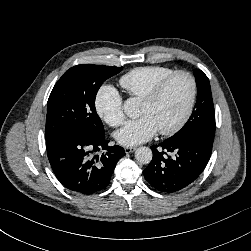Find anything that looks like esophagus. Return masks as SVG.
Masks as SVG:
<instances>
[{
	"label": "esophagus",
	"instance_id": "esophagus-1",
	"mask_svg": "<svg viewBox=\"0 0 251 251\" xmlns=\"http://www.w3.org/2000/svg\"><path fill=\"white\" fill-rule=\"evenodd\" d=\"M135 147H125L124 150L127 154L132 153L135 151Z\"/></svg>",
	"mask_w": 251,
	"mask_h": 251
}]
</instances>
